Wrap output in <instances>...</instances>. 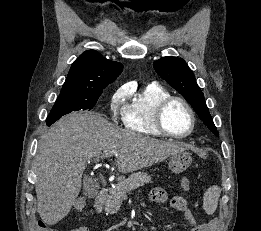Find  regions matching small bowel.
Wrapping results in <instances>:
<instances>
[{"instance_id": "1", "label": "small bowel", "mask_w": 261, "mask_h": 231, "mask_svg": "<svg viewBox=\"0 0 261 231\" xmlns=\"http://www.w3.org/2000/svg\"><path fill=\"white\" fill-rule=\"evenodd\" d=\"M189 180L186 177L181 179V185L184 187ZM167 200V194L163 189H155L150 194V201L154 204H161ZM170 205L173 209L183 214L185 221L189 227V231H214V223L211 221L207 224H199L192 213L189 204L182 196H173L170 200ZM68 231H89L85 226L71 228Z\"/></svg>"}]
</instances>
